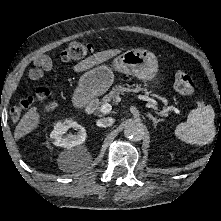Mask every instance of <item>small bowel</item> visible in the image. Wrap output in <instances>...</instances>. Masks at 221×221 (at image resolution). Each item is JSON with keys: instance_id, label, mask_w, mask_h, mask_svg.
<instances>
[{"instance_id": "small-bowel-1", "label": "small bowel", "mask_w": 221, "mask_h": 221, "mask_svg": "<svg viewBox=\"0 0 221 221\" xmlns=\"http://www.w3.org/2000/svg\"><path fill=\"white\" fill-rule=\"evenodd\" d=\"M52 66L51 60L47 56H39L35 60V67L30 73V76L34 79L41 78L45 73L50 71Z\"/></svg>"}]
</instances>
